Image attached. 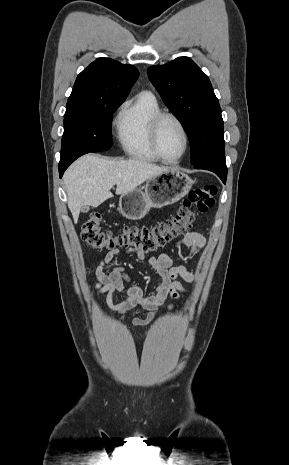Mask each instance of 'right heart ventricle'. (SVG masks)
<instances>
[{
	"label": "right heart ventricle",
	"instance_id": "e07e8e85",
	"mask_svg": "<svg viewBox=\"0 0 289 465\" xmlns=\"http://www.w3.org/2000/svg\"><path fill=\"white\" fill-rule=\"evenodd\" d=\"M161 112V107L149 91L137 94L122 108L117 118L118 140L131 158L156 162L150 142V126L153 118Z\"/></svg>",
	"mask_w": 289,
	"mask_h": 465
}]
</instances>
